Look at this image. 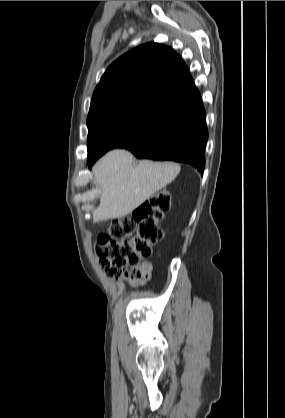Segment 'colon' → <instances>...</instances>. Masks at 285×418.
<instances>
[{
    "label": "colon",
    "mask_w": 285,
    "mask_h": 418,
    "mask_svg": "<svg viewBox=\"0 0 285 418\" xmlns=\"http://www.w3.org/2000/svg\"><path fill=\"white\" fill-rule=\"evenodd\" d=\"M170 200L169 191L160 190L130 216L113 220L96 236V254L106 275H130L139 272L132 268L144 267L143 259L151 256L153 246L163 237L159 221L169 211Z\"/></svg>",
    "instance_id": "5ec220e1"
}]
</instances>
